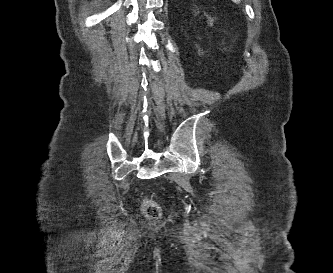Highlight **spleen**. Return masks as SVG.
<instances>
[{
    "mask_svg": "<svg viewBox=\"0 0 333 273\" xmlns=\"http://www.w3.org/2000/svg\"><path fill=\"white\" fill-rule=\"evenodd\" d=\"M234 3H240L241 0H232Z\"/></svg>",
    "mask_w": 333,
    "mask_h": 273,
    "instance_id": "3e777b00",
    "label": "spleen"
}]
</instances>
